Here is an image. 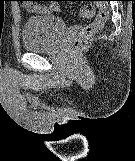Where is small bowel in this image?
<instances>
[{"mask_svg": "<svg viewBox=\"0 0 135 161\" xmlns=\"http://www.w3.org/2000/svg\"><path fill=\"white\" fill-rule=\"evenodd\" d=\"M24 6L31 12L47 14L55 11L57 6L54 4L50 5H40L36 4L34 1H22Z\"/></svg>", "mask_w": 135, "mask_h": 161, "instance_id": "1", "label": "small bowel"}]
</instances>
